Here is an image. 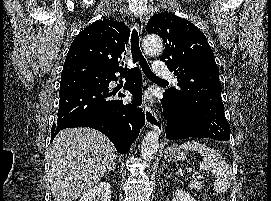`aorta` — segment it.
I'll list each match as a JSON object with an SVG mask.
<instances>
[{
    "label": "aorta",
    "instance_id": "762f6f07",
    "mask_svg": "<svg viewBox=\"0 0 271 201\" xmlns=\"http://www.w3.org/2000/svg\"><path fill=\"white\" fill-rule=\"evenodd\" d=\"M143 48L149 55H156L162 52L163 42L157 35H147L143 39ZM159 147V135L156 131H150L142 141L141 155L144 160H152Z\"/></svg>",
    "mask_w": 271,
    "mask_h": 201
}]
</instances>
